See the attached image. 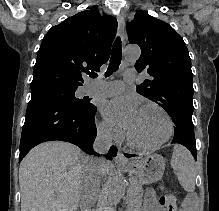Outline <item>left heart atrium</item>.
<instances>
[{
    "mask_svg": "<svg viewBox=\"0 0 219 211\" xmlns=\"http://www.w3.org/2000/svg\"><path fill=\"white\" fill-rule=\"evenodd\" d=\"M139 104L132 96H120L104 103L102 113L104 118L113 124H118L128 130L134 123Z\"/></svg>",
    "mask_w": 219,
    "mask_h": 211,
    "instance_id": "39dd6f15",
    "label": "left heart atrium"
}]
</instances>
